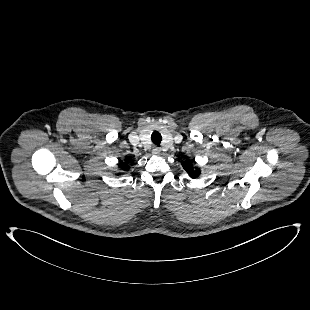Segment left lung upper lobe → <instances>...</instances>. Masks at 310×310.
<instances>
[{
    "instance_id": "left-lung-upper-lobe-1",
    "label": "left lung upper lobe",
    "mask_w": 310,
    "mask_h": 310,
    "mask_svg": "<svg viewBox=\"0 0 310 310\" xmlns=\"http://www.w3.org/2000/svg\"><path fill=\"white\" fill-rule=\"evenodd\" d=\"M182 166L192 178H195L200 175V170L194 169L191 162L188 161L186 162V164H182Z\"/></svg>"
}]
</instances>
